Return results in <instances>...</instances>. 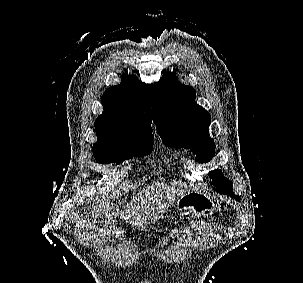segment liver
Listing matches in <instances>:
<instances>
[{
	"label": "liver",
	"mask_w": 303,
	"mask_h": 283,
	"mask_svg": "<svg viewBox=\"0 0 303 283\" xmlns=\"http://www.w3.org/2000/svg\"><path fill=\"white\" fill-rule=\"evenodd\" d=\"M184 194V190L176 189L174 186L163 183H153L144 188L136 196H133L130 205L125 207L126 213H121V217L135 227L145 228L150 223L155 222L165 213V210ZM95 197V205L84 210L83 225L91 233H102L109 235L117 229L115 223L119 213L118 206H113L108 194L98 189L92 193L91 199ZM114 209V211H112ZM112 211V214H110ZM161 214V216H160Z\"/></svg>",
	"instance_id": "obj_1"
}]
</instances>
